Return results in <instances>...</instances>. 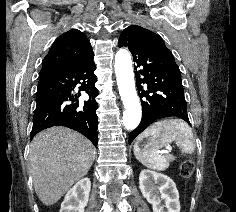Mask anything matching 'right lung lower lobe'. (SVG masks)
<instances>
[{"instance_id": "1", "label": "right lung lower lobe", "mask_w": 236, "mask_h": 212, "mask_svg": "<svg viewBox=\"0 0 236 212\" xmlns=\"http://www.w3.org/2000/svg\"><path fill=\"white\" fill-rule=\"evenodd\" d=\"M93 59L91 49L70 66L40 73L31 139L46 128L62 125L80 132L97 146L98 103L95 98L98 90ZM77 85L89 95L87 101L77 100L81 95L73 93Z\"/></svg>"}]
</instances>
